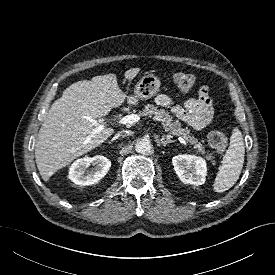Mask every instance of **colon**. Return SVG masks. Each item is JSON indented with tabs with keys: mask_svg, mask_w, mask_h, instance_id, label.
Here are the masks:
<instances>
[{
	"mask_svg": "<svg viewBox=\"0 0 275 275\" xmlns=\"http://www.w3.org/2000/svg\"><path fill=\"white\" fill-rule=\"evenodd\" d=\"M173 82L178 90L187 92L194 85V77L190 73L177 72L173 75ZM227 141L226 134L221 131H211L208 134V143L216 152L224 151Z\"/></svg>",
	"mask_w": 275,
	"mask_h": 275,
	"instance_id": "colon-1",
	"label": "colon"
}]
</instances>
